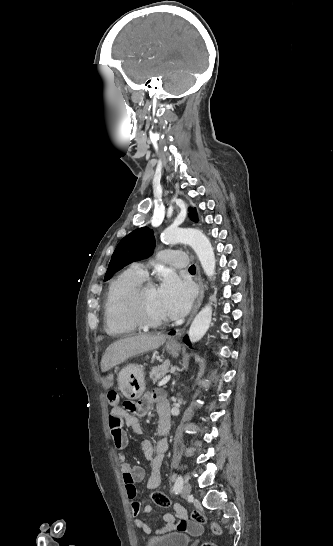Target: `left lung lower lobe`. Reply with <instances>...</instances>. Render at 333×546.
I'll return each instance as SVG.
<instances>
[{
  "label": "left lung lower lobe",
  "instance_id": "left-lung-lower-lobe-1",
  "mask_svg": "<svg viewBox=\"0 0 333 546\" xmlns=\"http://www.w3.org/2000/svg\"><path fill=\"white\" fill-rule=\"evenodd\" d=\"M174 333H175V332L172 331V332H170L169 334H174ZM184 342H185L187 345H190V341H189V339H188V336H185V337H184Z\"/></svg>",
  "mask_w": 333,
  "mask_h": 546
}]
</instances>
